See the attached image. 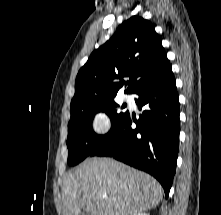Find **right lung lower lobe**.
Instances as JSON below:
<instances>
[{"mask_svg":"<svg viewBox=\"0 0 221 215\" xmlns=\"http://www.w3.org/2000/svg\"><path fill=\"white\" fill-rule=\"evenodd\" d=\"M138 108L146 109L136 121L128 114L114 132L91 153L109 156L155 177L169 194L179 150V98L172 73L137 91ZM132 121L137 125L131 127Z\"/></svg>","mask_w":221,"mask_h":215,"instance_id":"98d812e1","label":"right lung lower lobe"}]
</instances>
